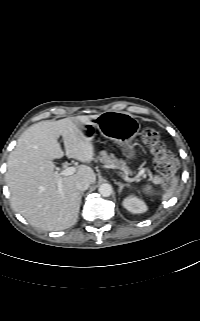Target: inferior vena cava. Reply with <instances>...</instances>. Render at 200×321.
Returning <instances> with one entry per match:
<instances>
[{
    "instance_id": "1",
    "label": "inferior vena cava",
    "mask_w": 200,
    "mask_h": 321,
    "mask_svg": "<svg viewBox=\"0 0 200 321\" xmlns=\"http://www.w3.org/2000/svg\"><path fill=\"white\" fill-rule=\"evenodd\" d=\"M75 186L78 191L83 192L89 188L90 182H89V180L82 178V179L77 180Z\"/></svg>"
}]
</instances>
